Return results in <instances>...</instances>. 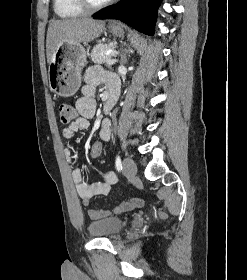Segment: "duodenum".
<instances>
[{
	"label": "duodenum",
	"instance_id": "duodenum-1",
	"mask_svg": "<svg viewBox=\"0 0 247 280\" xmlns=\"http://www.w3.org/2000/svg\"><path fill=\"white\" fill-rule=\"evenodd\" d=\"M118 99V89L109 88L106 94V102L104 105L105 112H110Z\"/></svg>",
	"mask_w": 247,
	"mask_h": 280
}]
</instances>
